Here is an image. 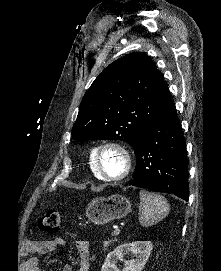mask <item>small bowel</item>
Instances as JSON below:
<instances>
[{
  "label": "small bowel",
  "mask_w": 221,
  "mask_h": 271,
  "mask_svg": "<svg viewBox=\"0 0 221 271\" xmlns=\"http://www.w3.org/2000/svg\"><path fill=\"white\" fill-rule=\"evenodd\" d=\"M65 244L64 239L58 237L54 239L28 240L25 246L28 250L37 255H45L53 253L58 247ZM76 249L79 255V271H90V251L89 242L85 239H78L75 242ZM38 258L33 257L27 262V267L31 271H40L37 268ZM62 271H73L71 265L66 264L62 267Z\"/></svg>",
  "instance_id": "1"
}]
</instances>
